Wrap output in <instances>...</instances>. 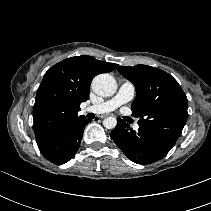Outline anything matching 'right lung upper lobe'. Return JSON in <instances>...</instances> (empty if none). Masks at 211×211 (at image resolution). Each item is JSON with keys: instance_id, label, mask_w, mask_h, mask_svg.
Here are the masks:
<instances>
[{"instance_id": "right-lung-upper-lobe-1", "label": "right lung upper lobe", "mask_w": 211, "mask_h": 211, "mask_svg": "<svg viewBox=\"0 0 211 211\" xmlns=\"http://www.w3.org/2000/svg\"><path fill=\"white\" fill-rule=\"evenodd\" d=\"M117 66L82 55L70 57L51 67L37 90L33 107L36 138L78 118L80 104L89 99L92 79Z\"/></svg>"}]
</instances>
